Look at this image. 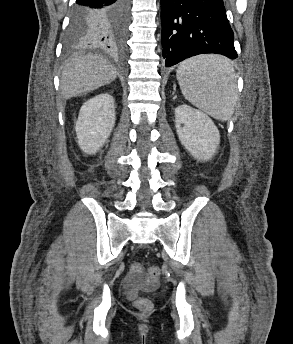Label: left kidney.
<instances>
[{"instance_id":"5707ae66","label":"left kidney","mask_w":293,"mask_h":344,"mask_svg":"<svg viewBox=\"0 0 293 344\" xmlns=\"http://www.w3.org/2000/svg\"><path fill=\"white\" fill-rule=\"evenodd\" d=\"M175 126L181 144L195 159L207 161L216 153L220 134L203 112L180 105L175 109Z\"/></svg>"}]
</instances>
